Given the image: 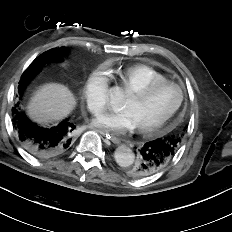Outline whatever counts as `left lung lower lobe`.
I'll list each match as a JSON object with an SVG mask.
<instances>
[{"label": "left lung lower lobe", "instance_id": "left-lung-lower-lobe-1", "mask_svg": "<svg viewBox=\"0 0 232 232\" xmlns=\"http://www.w3.org/2000/svg\"><path fill=\"white\" fill-rule=\"evenodd\" d=\"M175 153L173 147L161 138L149 141L140 148L138 161L131 165L130 173L135 178L153 175L162 170Z\"/></svg>", "mask_w": 232, "mask_h": 232}]
</instances>
